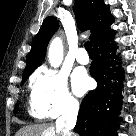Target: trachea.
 <instances>
[{"label":"trachea","mask_w":136,"mask_h":136,"mask_svg":"<svg viewBox=\"0 0 136 136\" xmlns=\"http://www.w3.org/2000/svg\"><path fill=\"white\" fill-rule=\"evenodd\" d=\"M84 46H85V49H86V51L88 52L89 55L94 54L92 45H91V43L89 41H87Z\"/></svg>","instance_id":"1"}]
</instances>
